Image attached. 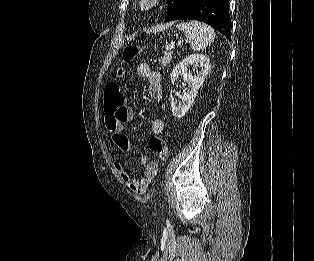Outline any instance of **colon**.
Segmentation results:
<instances>
[{
  "label": "colon",
  "mask_w": 314,
  "mask_h": 261,
  "mask_svg": "<svg viewBox=\"0 0 314 261\" xmlns=\"http://www.w3.org/2000/svg\"><path fill=\"white\" fill-rule=\"evenodd\" d=\"M141 50L137 46H127L123 51V60L130 63L136 59ZM128 75L127 70L121 67L118 71V79H123ZM125 103L124 90L119 81H112L106 85L104 108L107 111H115ZM150 150L156 154L161 160H165L168 156V148L166 143L159 136L151 137L149 141Z\"/></svg>",
  "instance_id": "obj_1"
}]
</instances>
